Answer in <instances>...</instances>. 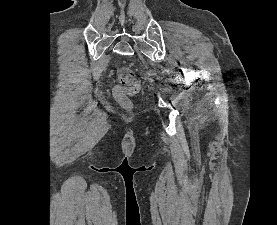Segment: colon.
<instances>
[{"instance_id":"1","label":"colon","mask_w":277,"mask_h":225,"mask_svg":"<svg viewBox=\"0 0 277 225\" xmlns=\"http://www.w3.org/2000/svg\"><path fill=\"white\" fill-rule=\"evenodd\" d=\"M119 83L113 89V95L117 102L125 109L132 108L130 95L137 93L140 82L136 73L128 67H120L117 71Z\"/></svg>"}]
</instances>
